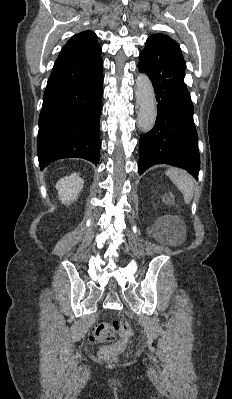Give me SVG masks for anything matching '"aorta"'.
<instances>
[{"label":"aorta","instance_id":"aorta-1","mask_svg":"<svg viewBox=\"0 0 232 399\" xmlns=\"http://www.w3.org/2000/svg\"><path fill=\"white\" fill-rule=\"evenodd\" d=\"M136 98L139 106L138 126L146 133L154 126L157 104L152 83L144 73L139 74L136 79Z\"/></svg>","mask_w":232,"mask_h":399}]
</instances>
